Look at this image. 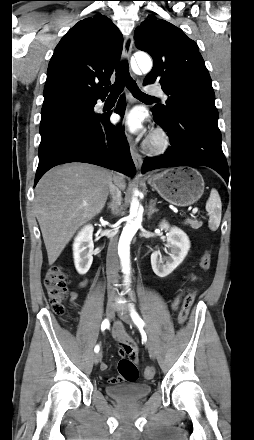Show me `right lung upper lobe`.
<instances>
[{"label":"right lung upper lobe","mask_w":254,"mask_h":440,"mask_svg":"<svg viewBox=\"0 0 254 440\" xmlns=\"http://www.w3.org/2000/svg\"><path fill=\"white\" fill-rule=\"evenodd\" d=\"M122 46V34L106 16L79 21L55 48L48 66L44 100L62 94L106 96Z\"/></svg>","instance_id":"cb5924a9"}]
</instances>
